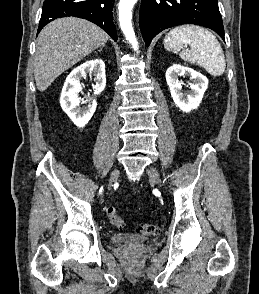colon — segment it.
Returning a JSON list of instances; mask_svg holds the SVG:
<instances>
[{
	"label": "colon",
	"mask_w": 259,
	"mask_h": 294,
	"mask_svg": "<svg viewBox=\"0 0 259 294\" xmlns=\"http://www.w3.org/2000/svg\"><path fill=\"white\" fill-rule=\"evenodd\" d=\"M107 217L112 225L117 228H122L124 225L123 219L120 217L115 207H108L106 210ZM158 227L152 223H143L138 227L137 234L140 236H152L156 234Z\"/></svg>",
	"instance_id": "1"
}]
</instances>
